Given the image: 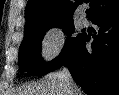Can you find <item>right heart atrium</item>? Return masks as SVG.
Wrapping results in <instances>:
<instances>
[{
	"mask_svg": "<svg viewBox=\"0 0 119 95\" xmlns=\"http://www.w3.org/2000/svg\"><path fill=\"white\" fill-rule=\"evenodd\" d=\"M65 42V33L61 27H52L41 40V55L45 61H52L61 53Z\"/></svg>",
	"mask_w": 119,
	"mask_h": 95,
	"instance_id": "right-heart-atrium-1",
	"label": "right heart atrium"
}]
</instances>
